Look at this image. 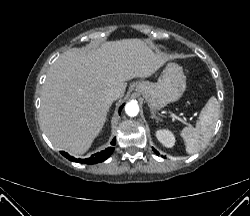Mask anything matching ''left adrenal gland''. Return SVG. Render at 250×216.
<instances>
[{
    "mask_svg": "<svg viewBox=\"0 0 250 216\" xmlns=\"http://www.w3.org/2000/svg\"><path fill=\"white\" fill-rule=\"evenodd\" d=\"M151 118H153V119H155V120H157V121H159V120H161V118L160 117H158V116H156V114H155V112L152 110L151 111Z\"/></svg>",
    "mask_w": 250,
    "mask_h": 216,
    "instance_id": "1",
    "label": "left adrenal gland"
}]
</instances>
